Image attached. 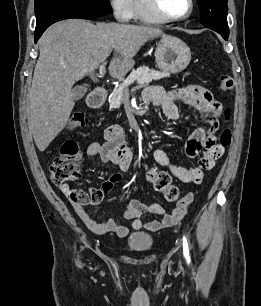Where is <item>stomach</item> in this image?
<instances>
[{"label":"stomach","instance_id":"0dacf381","mask_svg":"<svg viewBox=\"0 0 261 306\" xmlns=\"http://www.w3.org/2000/svg\"><path fill=\"white\" fill-rule=\"evenodd\" d=\"M191 60L190 48L181 39L164 35L155 51V61L164 72L177 74L186 69Z\"/></svg>","mask_w":261,"mask_h":306}]
</instances>
